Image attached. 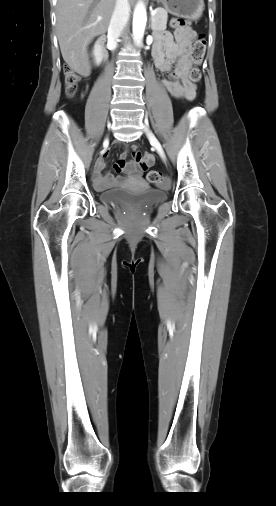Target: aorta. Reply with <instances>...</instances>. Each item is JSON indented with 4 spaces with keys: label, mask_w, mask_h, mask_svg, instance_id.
<instances>
[{
    "label": "aorta",
    "mask_w": 276,
    "mask_h": 506,
    "mask_svg": "<svg viewBox=\"0 0 276 506\" xmlns=\"http://www.w3.org/2000/svg\"><path fill=\"white\" fill-rule=\"evenodd\" d=\"M147 22L146 8L143 2L139 1L135 7L132 23L133 39L136 46L142 44L144 31Z\"/></svg>",
    "instance_id": "1"
}]
</instances>
